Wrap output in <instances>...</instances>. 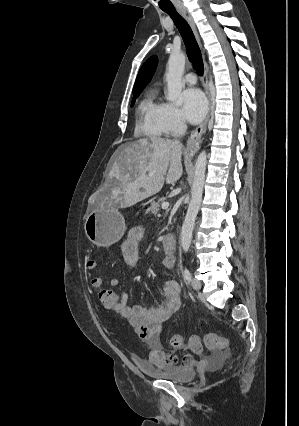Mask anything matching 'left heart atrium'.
I'll return each mask as SVG.
<instances>
[{"instance_id":"1","label":"left heart atrium","mask_w":299,"mask_h":426,"mask_svg":"<svg viewBox=\"0 0 299 426\" xmlns=\"http://www.w3.org/2000/svg\"><path fill=\"white\" fill-rule=\"evenodd\" d=\"M184 118L190 123L200 122L207 111V101L203 93L196 88L186 89L182 94Z\"/></svg>"}]
</instances>
